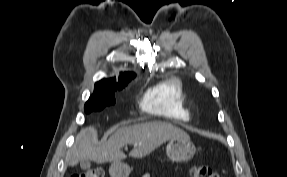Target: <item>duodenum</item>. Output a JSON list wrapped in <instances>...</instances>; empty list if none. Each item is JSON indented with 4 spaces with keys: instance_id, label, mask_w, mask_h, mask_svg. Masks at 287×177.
I'll use <instances>...</instances> for the list:
<instances>
[{
    "instance_id": "1",
    "label": "duodenum",
    "mask_w": 287,
    "mask_h": 177,
    "mask_svg": "<svg viewBox=\"0 0 287 177\" xmlns=\"http://www.w3.org/2000/svg\"><path fill=\"white\" fill-rule=\"evenodd\" d=\"M116 173L119 174V175H124L125 174L124 170H122V169H117Z\"/></svg>"
}]
</instances>
